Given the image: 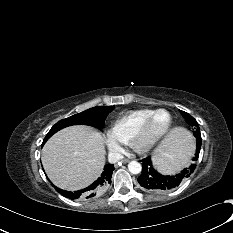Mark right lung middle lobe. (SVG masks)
Returning <instances> with one entry per match:
<instances>
[{"label": "right lung middle lobe", "mask_w": 233, "mask_h": 233, "mask_svg": "<svg viewBox=\"0 0 233 233\" xmlns=\"http://www.w3.org/2000/svg\"><path fill=\"white\" fill-rule=\"evenodd\" d=\"M114 109V106H96L85 110L81 113L70 116L57 122L46 135L43 143H45L54 133L62 128L71 125H89L101 129L107 115Z\"/></svg>", "instance_id": "1"}]
</instances>
